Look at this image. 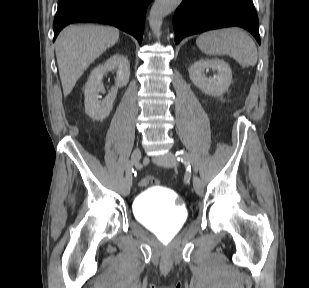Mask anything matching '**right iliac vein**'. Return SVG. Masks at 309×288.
Listing matches in <instances>:
<instances>
[{
    "label": "right iliac vein",
    "instance_id": "right-iliac-vein-1",
    "mask_svg": "<svg viewBox=\"0 0 309 288\" xmlns=\"http://www.w3.org/2000/svg\"><path fill=\"white\" fill-rule=\"evenodd\" d=\"M141 157H142V154H141L140 149H139V148H136V149L132 152V154H131V160H130V161H134V160H136V159L140 161ZM126 180H127V174H126L125 181H124V182H125V192H124V194H125V195H128L129 192H130V186H131V184H132V180H131V183H130V184H127V183H126Z\"/></svg>",
    "mask_w": 309,
    "mask_h": 288
}]
</instances>
